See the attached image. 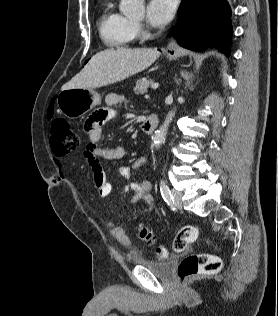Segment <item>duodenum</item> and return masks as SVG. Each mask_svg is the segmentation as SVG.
Segmentation results:
<instances>
[{
  "label": "duodenum",
  "instance_id": "1",
  "mask_svg": "<svg viewBox=\"0 0 278 316\" xmlns=\"http://www.w3.org/2000/svg\"><path fill=\"white\" fill-rule=\"evenodd\" d=\"M158 117L154 114L149 115L142 123V130L145 134H151L158 126Z\"/></svg>",
  "mask_w": 278,
  "mask_h": 316
}]
</instances>
